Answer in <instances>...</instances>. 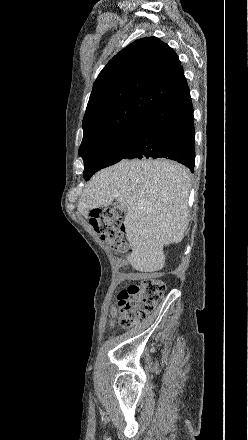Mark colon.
Returning <instances> with one entry per match:
<instances>
[{"mask_svg": "<svg viewBox=\"0 0 248 440\" xmlns=\"http://www.w3.org/2000/svg\"><path fill=\"white\" fill-rule=\"evenodd\" d=\"M89 222L116 253L127 251L121 214L109 208L95 209L90 214ZM164 291L165 284L156 278H145L139 284L120 291L117 296L120 325L130 328L150 315Z\"/></svg>", "mask_w": 248, "mask_h": 440, "instance_id": "5ec220e1", "label": "colon"}]
</instances>
